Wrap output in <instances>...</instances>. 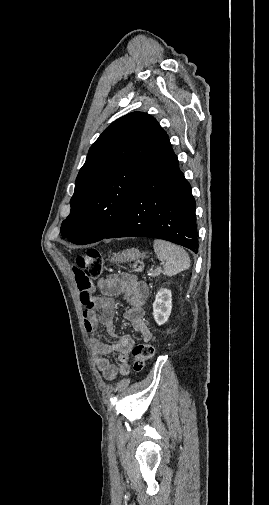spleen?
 <instances>
[{"label": "spleen", "mask_w": 269, "mask_h": 505, "mask_svg": "<svg viewBox=\"0 0 269 505\" xmlns=\"http://www.w3.org/2000/svg\"><path fill=\"white\" fill-rule=\"evenodd\" d=\"M157 258L164 263V274L174 276L190 267V258L180 246L162 239L153 242Z\"/></svg>", "instance_id": "obj_1"}]
</instances>
